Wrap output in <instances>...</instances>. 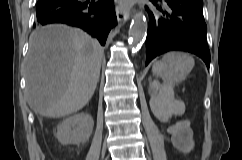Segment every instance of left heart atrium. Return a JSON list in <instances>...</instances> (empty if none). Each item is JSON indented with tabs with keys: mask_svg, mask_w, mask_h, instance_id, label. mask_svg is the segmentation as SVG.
Wrapping results in <instances>:
<instances>
[{
	"mask_svg": "<svg viewBox=\"0 0 242 160\" xmlns=\"http://www.w3.org/2000/svg\"><path fill=\"white\" fill-rule=\"evenodd\" d=\"M122 2H123V4H125V5H128V3H129V0H121Z\"/></svg>",
	"mask_w": 242,
	"mask_h": 160,
	"instance_id": "39dd6f15",
	"label": "left heart atrium"
}]
</instances>
